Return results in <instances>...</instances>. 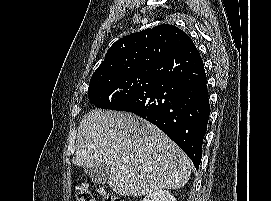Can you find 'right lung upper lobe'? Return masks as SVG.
<instances>
[{"label":"right lung upper lobe","mask_w":271,"mask_h":201,"mask_svg":"<svg viewBox=\"0 0 271 201\" xmlns=\"http://www.w3.org/2000/svg\"><path fill=\"white\" fill-rule=\"evenodd\" d=\"M186 37L178 27L168 24L127 35L109 48L91 79L131 71L152 72Z\"/></svg>","instance_id":"1"}]
</instances>
